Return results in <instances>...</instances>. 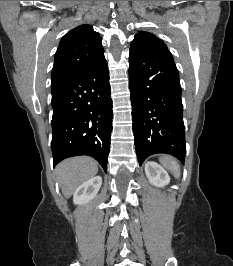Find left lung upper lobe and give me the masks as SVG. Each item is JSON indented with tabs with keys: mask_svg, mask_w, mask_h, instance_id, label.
<instances>
[{
	"mask_svg": "<svg viewBox=\"0 0 233 266\" xmlns=\"http://www.w3.org/2000/svg\"><path fill=\"white\" fill-rule=\"evenodd\" d=\"M131 47L158 49L169 52L162 40L158 39L154 34L145 31H140L135 35Z\"/></svg>",
	"mask_w": 233,
	"mask_h": 266,
	"instance_id": "left-lung-upper-lobe-1",
	"label": "left lung upper lobe"
}]
</instances>
